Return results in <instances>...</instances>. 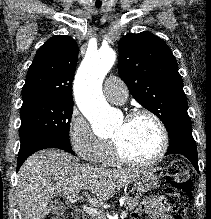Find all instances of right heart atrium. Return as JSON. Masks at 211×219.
Returning a JSON list of instances; mask_svg holds the SVG:
<instances>
[{
    "mask_svg": "<svg viewBox=\"0 0 211 219\" xmlns=\"http://www.w3.org/2000/svg\"><path fill=\"white\" fill-rule=\"evenodd\" d=\"M68 137L75 153L88 162H98L111 147L108 141L95 134L88 120L77 111L70 118Z\"/></svg>",
    "mask_w": 211,
    "mask_h": 219,
    "instance_id": "right-heart-atrium-1",
    "label": "right heart atrium"
}]
</instances>
